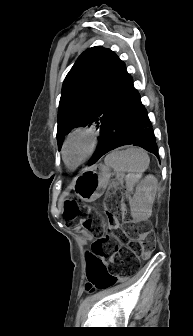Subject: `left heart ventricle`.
<instances>
[{"instance_id":"obj_1","label":"left heart ventricle","mask_w":193,"mask_h":336,"mask_svg":"<svg viewBox=\"0 0 193 336\" xmlns=\"http://www.w3.org/2000/svg\"><path fill=\"white\" fill-rule=\"evenodd\" d=\"M89 139L85 136L75 137L67 146L66 158L71 165L79 162L86 154Z\"/></svg>"}]
</instances>
